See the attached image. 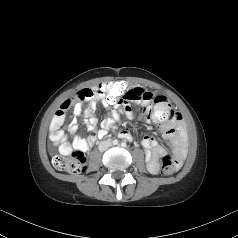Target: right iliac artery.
<instances>
[{
	"instance_id": "obj_1",
	"label": "right iliac artery",
	"mask_w": 238,
	"mask_h": 238,
	"mask_svg": "<svg viewBox=\"0 0 238 238\" xmlns=\"http://www.w3.org/2000/svg\"><path fill=\"white\" fill-rule=\"evenodd\" d=\"M113 145H117L118 144V140H113Z\"/></svg>"
}]
</instances>
